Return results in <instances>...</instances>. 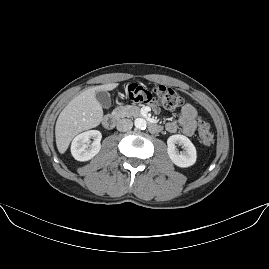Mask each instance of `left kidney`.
Listing matches in <instances>:
<instances>
[{"mask_svg": "<svg viewBox=\"0 0 269 269\" xmlns=\"http://www.w3.org/2000/svg\"><path fill=\"white\" fill-rule=\"evenodd\" d=\"M177 143L183 145L186 151L179 153L176 147ZM167 145L170 158L178 166L187 167L196 161V148L188 137L181 134L172 135L168 138Z\"/></svg>", "mask_w": 269, "mask_h": 269, "instance_id": "left-kidney-1", "label": "left kidney"}]
</instances>
